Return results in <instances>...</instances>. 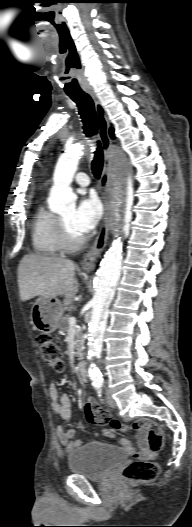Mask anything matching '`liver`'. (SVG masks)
<instances>
[{
	"instance_id": "liver-1",
	"label": "liver",
	"mask_w": 192,
	"mask_h": 527,
	"mask_svg": "<svg viewBox=\"0 0 192 527\" xmlns=\"http://www.w3.org/2000/svg\"><path fill=\"white\" fill-rule=\"evenodd\" d=\"M76 265L72 260L40 254L25 255L18 266L20 298L64 296V306L72 303L77 291Z\"/></svg>"
}]
</instances>
